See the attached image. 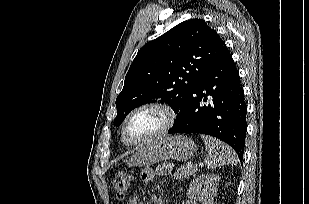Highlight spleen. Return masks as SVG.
I'll return each instance as SVG.
<instances>
[{"label":"spleen","mask_w":309,"mask_h":204,"mask_svg":"<svg viewBox=\"0 0 309 204\" xmlns=\"http://www.w3.org/2000/svg\"><path fill=\"white\" fill-rule=\"evenodd\" d=\"M201 139L208 150V155L205 158V165L208 169H215L222 165L237 164L238 156L227 144L206 135H201Z\"/></svg>","instance_id":"1"}]
</instances>
